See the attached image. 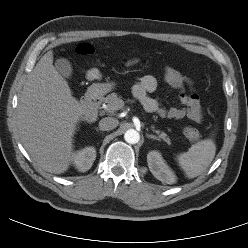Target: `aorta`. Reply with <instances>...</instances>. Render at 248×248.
I'll return each mask as SVG.
<instances>
[{
    "label": "aorta",
    "instance_id": "1",
    "mask_svg": "<svg viewBox=\"0 0 248 248\" xmlns=\"http://www.w3.org/2000/svg\"><path fill=\"white\" fill-rule=\"evenodd\" d=\"M124 139L129 144H136L140 140V134L134 129H129L125 132Z\"/></svg>",
    "mask_w": 248,
    "mask_h": 248
}]
</instances>
